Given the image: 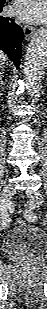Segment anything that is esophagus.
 I'll return each instance as SVG.
<instances>
[{"mask_svg":"<svg viewBox=\"0 0 47 309\" xmlns=\"http://www.w3.org/2000/svg\"><path fill=\"white\" fill-rule=\"evenodd\" d=\"M23 31H24L25 38L30 39L35 32V28L32 26L25 25L23 27Z\"/></svg>","mask_w":47,"mask_h":309,"instance_id":"esophagus-1","label":"esophagus"}]
</instances>
